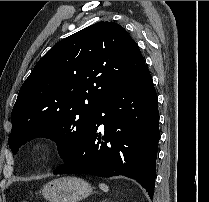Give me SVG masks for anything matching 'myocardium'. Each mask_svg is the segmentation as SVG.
Returning <instances> with one entry per match:
<instances>
[{"label":"myocardium","instance_id":"myocardium-1","mask_svg":"<svg viewBox=\"0 0 209 202\" xmlns=\"http://www.w3.org/2000/svg\"><path fill=\"white\" fill-rule=\"evenodd\" d=\"M51 142L47 138L36 140L31 147V156L35 161H43L50 150Z\"/></svg>","mask_w":209,"mask_h":202}]
</instances>
